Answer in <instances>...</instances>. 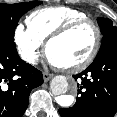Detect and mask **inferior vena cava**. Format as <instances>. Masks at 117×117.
Instances as JSON below:
<instances>
[{"label":"inferior vena cava","instance_id":"1","mask_svg":"<svg viewBox=\"0 0 117 117\" xmlns=\"http://www.w3.org/2000/svg\"><path fill=\"white\" fill-rule=\"evenodd\" d=\"M31 63L36 64L37 63V60H32Z\"/></svg>","mask_w":117,"mask_h":117}]
</instances>
